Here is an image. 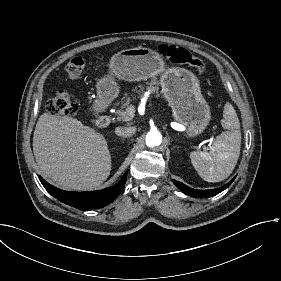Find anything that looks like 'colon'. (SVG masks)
Instances as JSON below:
<instances>
[{
    "label": "colon",
    "mask_w": 281,
    "mask_h": 281,
    "mask_svg": "<svg viewBox=\"0 0 281 281\" xmlns=\"http://www.w3.org/2000/svg\"><path fill=\"white\" fill-rule=\"evenodd\" d=\"M157 49L161 56L167 58L171 62L189 64L200 72L205 70L203 61L194 57V55L190 54L183 48L169 44H161ZM84 68L85 59L83 57H74L65 67L67 78L70 80L81 78ZM48 111L51 115L73 116L77 111V106L69 92L61 91L48 101Z\"/></svg>",
    "instance_id": "obj_1"
}]
</instances>
